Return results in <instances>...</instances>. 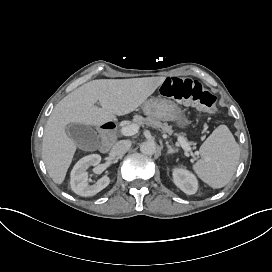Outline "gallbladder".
I'll return each mask as SVG.
<instances>
[{"instance_id":"1","label":"gallbladder","mask_w":272,"mask_h":272,"mask_svg":"<svg viewBox=\"0 0 272 272\" xmlns=\"http://www.w3.org/2000/svg\"><path fill=\"white\" fill-rule=\"evenodd\" d=\"M67 132L81 149H96L101 144L99 135L90 126L72 123L68 125Z\"/></svg>"}]
</instances>
